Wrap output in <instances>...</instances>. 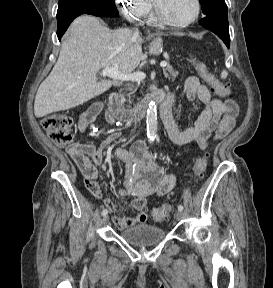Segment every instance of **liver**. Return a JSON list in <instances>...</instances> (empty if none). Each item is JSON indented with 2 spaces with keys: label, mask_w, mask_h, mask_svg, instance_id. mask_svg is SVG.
<instances>
[{
  "label": "liver",
  "mask_w": 273,
  "mask_h": 288,
  "mask_svg": "<svg viewBox=\"0 0 273 288\" xmlns=\"http://www.w3.org/2000/svg\"><path fill=\"white\" fill-rule=\"evenodd\" d=\"M142 42L130 29L110 30L90 15L76 18L55 66L38 88L35 116L74 108L106 92L113 82H97V73L115 65L121 73H131L146 58Z\"/></svg>",
  "instance_id": "6515ba94"
}]
</instances>
